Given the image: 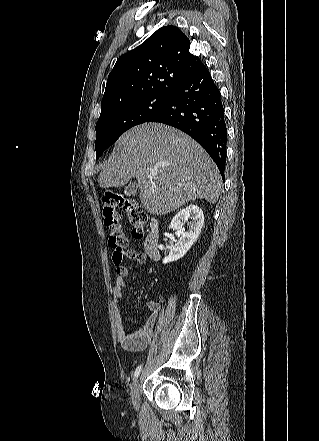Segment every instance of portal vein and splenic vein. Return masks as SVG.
<instances>
[{"mask_svg": "<svg viewBox=\"0 0 319 441\" xmlns=\"http://www.w3.org/2000/svg\"><path fill=\"white\" fill-rule=\"evenodd\" d=\"M150 174L155 177L158 175V172L156 170H151Z\"/></svg>", "mask_w": 319, "mask_h": 441, "instance_id": "1", "label": "portal vein and splenic vein"}]
</instances>
